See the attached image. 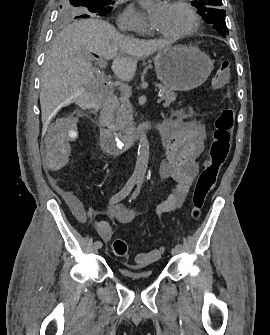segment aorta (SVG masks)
Segmentation results:
<instances>
[{"label": "aorta", "instance_id": "obj_1", "mask_svg": "<svg viewBox=\"0 0 270 335\" xmlns=\"http://www.w3.org/2000/svg\"><path fill=\"white\" fill-rule=\"evenodd\" d=\"M149 154V142L147 140V136L146 134H142L139 140L135 168L131 175L132 179H136V181H143L147 171Z\"/></svg>", "mask_w": 270, "mask_h": 335}]
</instances>
